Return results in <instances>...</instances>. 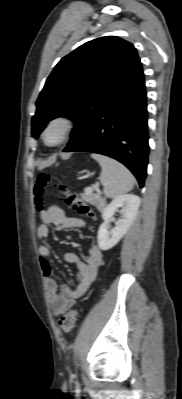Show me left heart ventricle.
I'll use <instances>...</instances> for the list:
<instances>
[{"instance_id":"b2bd125f","label":"left heart ventricle","mask_w":182,"mask_h":399,"mask_svg":"<svg viewBox=\"0 0 182 399\" xmlns=\"http://www.w3.org/2000/svg\"><path fill=\"white\" fill-rule=\"evenodd\" d=\"M62 136V129L60 126L56 125L51 127L47 134H46V140L48 143L53 144L56 143Z\"/></svg>"}]
</instances>
